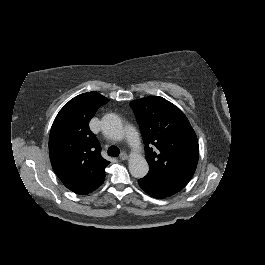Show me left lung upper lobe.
I'll list each match as a JSON object with an SVG mask.
<instances>
[{
	"mask_svg": "<svg viewBox=\"0 0 265 265\" xmlns=\"http://www.w3.org/2000/svg\"><path fill=\"white\" fill-rule=\"evenodd\" d=\"M130 106L145 143L150 168L147 175L167 182L188 183L198 163L199 146L184 113L156 96L132 101Z\"/></svg>",
	"mask_w": 265,
	"mask_h": 265,
	"instance_id": "5c2ea615",
	"label": "left lung upper lobe"
}]
</instances>
